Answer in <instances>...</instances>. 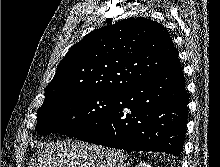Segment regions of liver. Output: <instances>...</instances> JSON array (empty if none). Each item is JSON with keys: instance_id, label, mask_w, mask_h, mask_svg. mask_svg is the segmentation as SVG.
<instances>
[{"instance_id": "1", "label": "liver", "mask_w": 220, "mask_h": 167, "mask_svg": "<svg viewBox=\"0 0 220 167\" xmlns=\"http://www.w3.org/2000/svg\"><path fill=\"white\" fill-rule=\"evenodd\" d=\"M28 167H126L124 152L79 141L39 144Z\"/></svg>"}]
</instances>
